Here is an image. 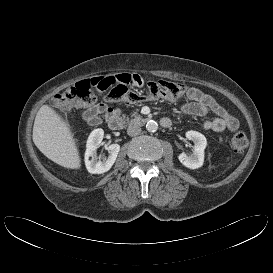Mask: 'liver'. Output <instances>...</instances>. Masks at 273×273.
<instances>
[{"label":"liver","instance_id":"6515ba94","mask_svg":"<svg viewBox=\"0 0 273 273\" xmlns=\"http://www.w3.org/2000/svg\"><path fill=\"white\" fill-rule=\"evenodd\" d=\"M33 142L50 160L69 169H80L81 158L68 123L49 105L35 117Z\"/></svg>","mask_w":273,"mask_h":273}]
</instances>
